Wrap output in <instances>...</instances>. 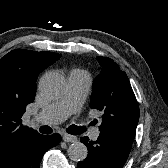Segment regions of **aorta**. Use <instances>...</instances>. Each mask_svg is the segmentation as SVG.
Instances as JSON below:
<instances>
[{
    "instance_id": "762f6f07",
    "label": "aorta",
    "mask_w": 168,
    "mask_h": 168,
    "mask_svg": "<svg viewBox=\"0 0 168 168\" xmlns=\"http://www.w3.org/2000/svg\"><path fill=\"white\" fill-rule=\"evenodd\" d=\"M65 88V78L56 72L46 73L39 82V90L46 99L59 98L63 95ZM67 152L69 158L76 162L83 161L88 154L87 147L81 142H73Z\"/></svg>"
}]
</instances>
